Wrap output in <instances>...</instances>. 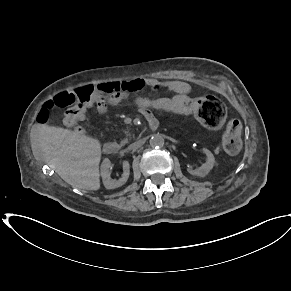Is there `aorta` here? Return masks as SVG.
I'll list each match as a JSON object with an SVG mask.
<instances>
[{
    "mask_svg": "<svg viewBox=\"0 0 291 291\" xmlns=\"http://www.w3.org/2000/svg\"><path fill=\"white\" fill-rule=\"evenodd\" d=\"M150 145L152 147H162L164 145V137L160 134H154L151 138H150Z\"/></svg>",
    "mask_w": 291,
    "mask_h": 291,
    "instance_id": "obj_1",
    "label": "aorta"
}]
</instances>
